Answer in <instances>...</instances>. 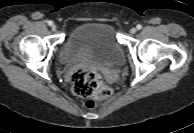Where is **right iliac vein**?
<instances>
[{"label": "right iliac vein", "mask_w": 194, "mask_h": 133, "mask_svg": "<svg viewBox=\"0 0 194 133\" xmlns=\"http://www.w3.org/2000/svg\"><path fill=\"white\" fill-rule=\"evenodd\" d=\"M51 29H52L53 31H56L57 26H56V25H52V26H51Z\"/></svg>", "instance_id": "right-iliac-vein-1"}]
</instances>
